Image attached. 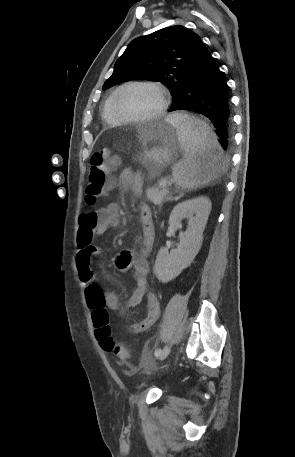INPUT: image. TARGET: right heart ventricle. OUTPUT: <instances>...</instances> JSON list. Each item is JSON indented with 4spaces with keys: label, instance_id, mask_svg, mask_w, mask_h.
Instances as JSON below:
<instances>
[{
    "label": "right heart ventricle",
    "instance_id": "obj_1",
    "mask_svg": "<svg viewBox=\"0 0 295 457\" xmlns=\"http://www.w3.org/2000/svg\"><path fill=\"white\" fill-rule=\"evenodd\" d=\"M112 94L108 96V98L105 100L103 108H102V116L104 120L111 125H116L119 124L121 121L118 120L112 113L111 111V99H112Z\"/></svg>",
    "mask_w": 295,
    "mask_h": 457
}]
</instances>
